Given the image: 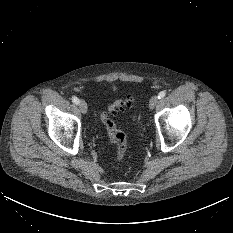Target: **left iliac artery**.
<instances>
[{
  "label": "left iliac artery",
  "instance_id": "44dca946",
  "mask_svg": "<svg viewBox=\"0 0 233 233\" xmlns=\"http://www.w3.org/2000/svg\"><path fill=\"white\" fill-rule=\"evenodd\" d=\"M166 96V92L165 91H161V92H159V94H158V99H162V98H164Z\"/></svg>",
  "mask_w": 233,
  "mask_h": 233
}]
</instances>
